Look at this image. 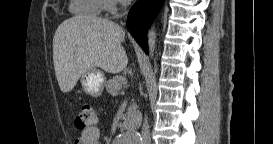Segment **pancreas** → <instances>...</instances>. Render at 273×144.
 <instances>
[{"label":"pancreas","instance_id":"obj_1","mask_svg":"<svg viewBox=\"0 0 273 144\" xmlns=\"http://www.w3.org/2000/svg\"><path fill=\"white\" fill-rule=\"evenodd\" d=\"M127 80L125 77L122 76H116L113 79H110L106 84V90L111 95H117L118 92L121 90L122 85H126ZM135 109L134 105H131L129 107V114L132 112V110Z\"/></svg>","mask_w":273,"mask_h":144}]
</instances>
